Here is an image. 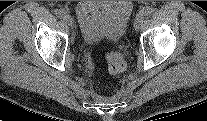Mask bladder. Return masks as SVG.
<instances>
[{
    "label": "bladder",
    "instance_id": "bladder-1",
    "mask_svg": "<svg viewBox=\"0 0 207 121\" xmlns=\"http://www.w3.org/2000/svg\"><path fill=\"white\" fill-rule=\"evenodd\" d=\"M75 12L85 44L116 42L127 29L133 4L131 1H80Z\"/></svg>",
    "mask_w": 207,
    "mask_h": 121
}]
</instances>
